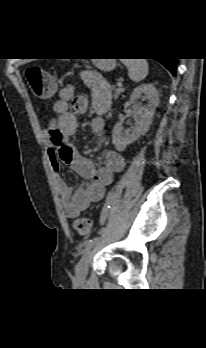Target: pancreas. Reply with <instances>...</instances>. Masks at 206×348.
Wrapping results in <instances>:
<instances>
[{
  "label": "pancreas",
  "mask_w": 206,
  "mask_h": 348,
  "mask_svg": "<svg viewBox=\"0 0 206 348\" xmlns=\"http://www.w3.org/2000/svg\"><path fill=\"white\" fill-rule=\"evenodd\" d=\"M124 92V88L121 86L116 89H114V98L117 99L121 93Z\"/></svg>",
  "instance_id": "1"
}]
</instances>
